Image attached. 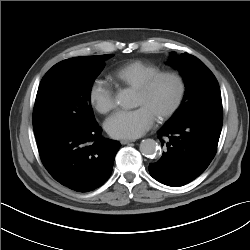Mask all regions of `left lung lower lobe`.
<instances>
[{"mask_svg": "<svg viewBox=\"0 0 250 250\" xmlns=\"http://www.w3.org/2000/svg\"><path fill=\"white\" fill-rule=\"evenodd\" d=\"M222 123V108H214L176 124H165L157 132L165 152L159 161L149 164L150 175L173 187L197 178L215 156Z\"/></svg>", "mask_w": 250, "mask_h": 250, "instance_id": "obj_1", "label": "left lung lower lobe"}]
</instances>
